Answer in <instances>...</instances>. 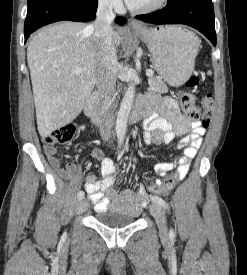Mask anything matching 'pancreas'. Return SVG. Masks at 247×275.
Masks as SVG:
<instances>
[{
	"label": "pancreas",
	"mask_w": 247,
	"mask_h": 275,
	"mask_svg": "<svg viewBox=\"0 0 247 275\" xmlns=\"http://www.w3.org/2000/svg\"><path fill=\"white\" fill-rule=\"evenodd\" d=\"M149 91L158 92V93H166L168 91V87L162 81L160 77H150L148 79Z\"/></svg>",
	"instance_id": "cf45deb5"
}]
</instances>
